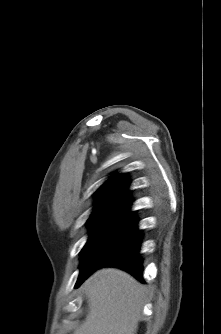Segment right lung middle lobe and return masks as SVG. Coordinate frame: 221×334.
Listing matches in <instances>:
<instances>
[{"instance_id":"obj_1","label":"right lung middle lobe","mask_w":221,"mask_h":334,"mask_svg":"<svg viewBox=\"0 0 221 334\" xmlns=\"http://www.w3.org/2000/svg\"><path fill=\"white\" fill-rule=\"evenodd\" d=\"M88 222L91 236L81 251V269L77 283L107 264L139 233L134 216L94 217Z\"/></svg>"}]
</instances>
